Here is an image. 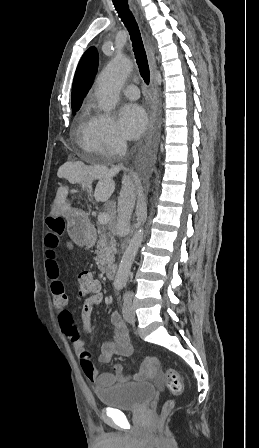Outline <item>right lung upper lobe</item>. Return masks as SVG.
I'll return each mask as SVG.
<instances>
[{
    "instance_id": "cb5924a9",
    "label": "right lung upper lobe",
    "mask_w": 259,
    "mask_h": 448,
    "mask_svg": "<svg viewBox=\"0 0 259 448\" xmlns=\"http://www.w3.org/2000/svg\"><path fill=\"white\" fill-rule=\"evenodd\" d=\"M98 68V53L90 47L83 54L77 66L72 85V109L80 108L83 98L88 93Z\"/></svg>"
}]
</instances>
